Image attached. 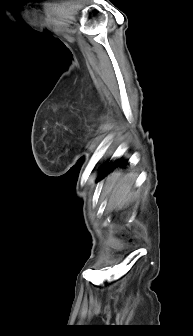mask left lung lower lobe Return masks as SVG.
I'll list each match as a JSON object with an SVG mask.
<instances>
[{
  "instance_id": "left-lung-lower-lobe-1",
  "label": "left lung lower lobe",
  "mask_w": 193,
  "mask_h": 336,
  "mask_svg": "<svg viewBox=\"0 0 193 336\" xmlns=\"http://www.w3.org/2000/svg\"><path fill=\"white\" fill-rule=\"evenodd\" d=\"M119 163H123L122 161L118 160L114 163H112L111 165H106V167L103 169V171L101 172V176L104 175L107 171H110L113 169V167H115L116 165H118ZM127 163V162H125Z\"/></svg>"
}]
</instances>
